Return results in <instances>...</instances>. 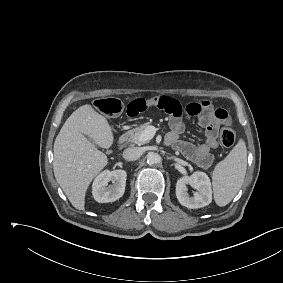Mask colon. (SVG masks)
I'll return each mask as SVG.
<instances>
[{
    "label": "colon",
    "instance_id": "colon-1",
    "mask_svg": "<svg viewBox=\"0 0 283 283\" xmlns=\"http://www.w3.org/2000/svg\"><path fill=\"white\" fill-rule=\"evenodd\" d=\"M94 106L100 113L108 117L119 116L124 110L122 101L111 97L96 100ZM219 139L223 146L232 147L236 141V133L233 129L224 127L220 130Z\"/></svg>",
    "mask_w": 283,
    "mask_h": 283
}]
</instances>
